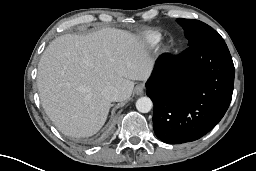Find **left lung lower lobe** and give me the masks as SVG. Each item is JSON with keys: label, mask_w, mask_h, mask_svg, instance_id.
<instances>
[{"label": "left lung lower lobe", "mask_w": 256, "mask_h": 171, "mask_svg": "<svg viewBox=\"0 0 256 171\" xmlns=\"http://www.w3.org/2000/svg\"><path fill=\"white\" fill-rule=\"evenodd\" d=\"M234 73L224 41L191 45L174 58L160 56L146 82L156 136L178 144L209 132L229 107Z\"/></svg>", "instance_id": "obj_1"}]
</instances>
